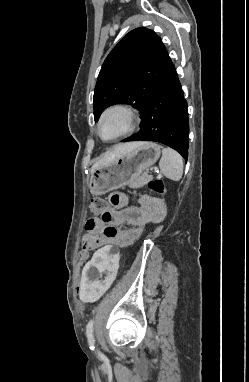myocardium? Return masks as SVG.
<instances>
[{
	"label": "myocardium",
	"instance_id": "1",
	"mask_svg": "<svg viewBox=\"0 0 249 382\" xmlns=\"http://www.w3.org/2000/svg\"><path fill=\"white\" fill-rule=\"evenodd\" d=\"M112 114H120L123 116L125 121V128L122 132L118 133L115 136L112 137H104L102 134V123L103 121ZM137 116L134 112V110L125 104H113L105 108L102 113L100 114L98 121H97V133L100 139H102L105 142H113L122 138H125L129 136L135 129L137 124Z\"/></svg>",
	"mask_w": 249,
	"mask_h": 382
}]
</instances>
